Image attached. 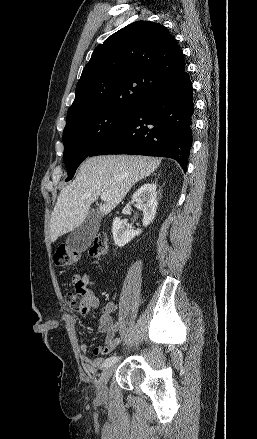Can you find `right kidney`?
Masks as SVG:
<instances>
[{
    "mask_svg": "<svg viewBox=\"0 0 257 439\" xmlns=\"http://www.w3.org/2000/svg\"><path fill=\"white\" fill-rule=\"evenodd\" d=\"M143 211V226L149 225L155 218L158 202L156 183H146L142 185L132 196ZM141 229L134 230L131 226L125 224L123 220L116 217L112 224V233L115 244L123 247L129 243L135 236L141 233Z\"/></svg>",
    "mask_w": 257,
    "mask_h": 439,
    "instance_id": "1",
    "label": "right kidney"
}]
</instances>
